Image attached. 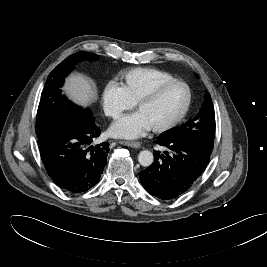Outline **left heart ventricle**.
Wrapping results in <instances>:
<instances>
[{"instance_id":"b2bd125f","label":"left heart ventricle","mask_w":267,"mask_h":267,"mask_svg":"<svg viewBox=\"0 0 267 267\" xmlns=\"http://www.w3.org/2000/svg\"><path fill=\"white\" fill-rule=\"evenodd\" d=\"M187 100V92L182 85H172L161 92L154 100L139 107L150 127L173 120L182 111Z\"/></svg>"}]
</instances>
